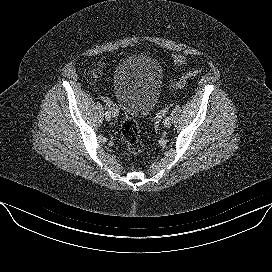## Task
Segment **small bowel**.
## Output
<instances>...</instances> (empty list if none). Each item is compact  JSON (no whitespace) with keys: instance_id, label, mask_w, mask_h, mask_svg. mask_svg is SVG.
<instances>
[{"instance_id":"c3829d8e","label":"small bowel","mask_w":272,"mask_h":272,"mask_svg":"<svg viewBox=\"0 0 272 272\" xmlns=\"http://www.w3.org/2000/svg\"><path fill=\"white\" fill-rule=\"evenodd\" d=\"M173 59L178 64H183L186 62V57L184 55H175Z\"/></svg>"}]
</instances>
